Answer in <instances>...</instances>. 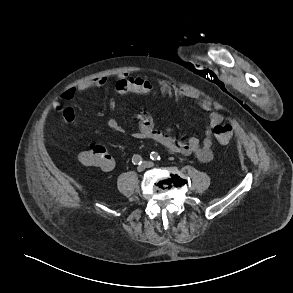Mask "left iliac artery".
<instances>
[{"label": "left iliac artery", "instance_id": "left-iliac-artery-1", "mask_svg": "<svg viewBox=\"0 0 293 293\" xmlns=\"http://www.w3.org/2000/svg\"><path fill=\"white\" fill-rule=\"evenodd\" d=\"M150 158H151L153 161H161V160H162V158H161V156L159 155V153L154 152V151L150 153Z\"/></svg>", "mask_w": 293, "mask_h": 293}]
</instances>
